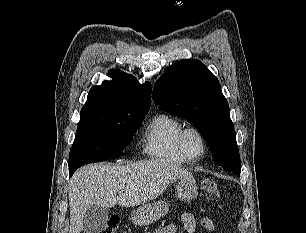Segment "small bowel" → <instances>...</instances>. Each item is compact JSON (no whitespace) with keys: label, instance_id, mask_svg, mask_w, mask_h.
<instances>
[{"label":"small bowel","instance_id":"1","mask_svg":"<svg viewBox=\"0 0 306 233\" xmlns=\"http://www.w3.org/2000/svg\"><path fill=\"white\" fill-rule=\"evenodd\" d=\"M200 224L205 229L216 233V228L213 220L209 217H203L200 220ZM182 226L185 233H194L196 228V219L193 214L185 213L182 216ZM157 233H176L177 225L175 223H171L166 227H162L156 231Z\"/></svg>","mask_w":306,"mask_h":233}]
</instances>
